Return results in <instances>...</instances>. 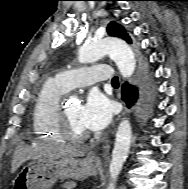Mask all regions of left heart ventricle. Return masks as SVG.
I'll return each mask as SVG.
<instances>
[{"instance_id":"b2bd125f","label":"left heart ventricle","mask_w":188,"mask_h":189,"mask_svg":"<svg viewBox=\"0 0 188 189\" xmlns=\"http://www.w3.org/2000/svg\"><path fill=\"white\" fill-rule=\"evenodd\" d=\"M80 110L81 105L78 103L70 104L66 106L67 115L71 129L74 132H85L86 128L80 122Z\"/></svg>"}]
</instances>
